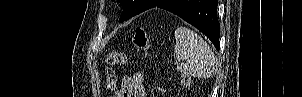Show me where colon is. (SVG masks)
<instances>
[{"mask_svg": "<svg viewBox=\"0 0 302 97\" xmlns=\"http://www.w3.org/2000/svg\"><path fill=\"white\" fill-rule=\"evenodd\" d=\"M133 44L136 48L141 50L149 49V40L144 28L137 27L133 34ZM126 56L121 51H112L105 56V76L109 89H113L116 86L117 78L114 72V68L121 66L125 63ZM182 84H188L189 79L183 78L180 81Z\"/></svg>", "mask_w": 302, "mask_h": 97, "instance_id": "5ec220e1", "label": "colon"}]
</instances>
